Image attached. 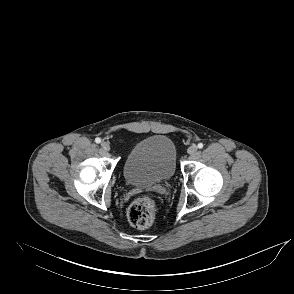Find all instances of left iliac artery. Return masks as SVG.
Here are the masks:
<instances>
[{
	"instance_id": "left-iliac-artery-1",
	"label": "left iliac artery",
	"mask_w": 294,
	"mask_h": 294,
	"mask_svg": "<svg viewBox=\"0 0 294 294\" xmlns=\"http://www.w3.org/2000/svg\"><path fill=\"white\" fill-rule=\"evenodd\" d=\"M203 146H204L203 143H199V144H198V148H199V149L203 148Z\"/></svg>"
}]
</instances>
